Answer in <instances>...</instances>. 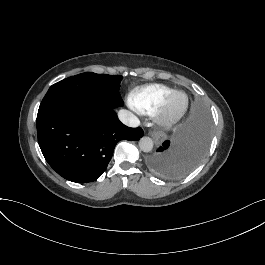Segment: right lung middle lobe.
Returning a JSON list of instances; mask_svg holds the SVG:
<instances>
[{"instance_id": "dd1d6c3e", "label": "right lung middle lobe", "mask_w": 265, "mask_h": 265, "mask_svg": "<svg viewBox=\"0 0 265 265\" xmlns=\"http://www.w3.org/2000/svg\"><path fill=\"white\" fill-rule=\"evenodd\" d=\"M121 79L120 75L82 73L52 85L43 101L57 95H69L99 107L114 109L123 105L118 94Z\"/></svg>"}]
</instances>
